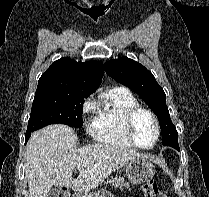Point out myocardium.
<instances>
[{
	"label": "myocardium",
	"instance_id": "f54148a6",
	"mask_svg": "<svg viewBox=\"0 0 209 197\" xmlns=\"http://www.w3.org/2000/svg\"><path fill=\"white\" fill-rule=\"evenodd\" d=\"M140 112L147 113L152 118L154 126H155V140H154L153 144L150 145V146H141L136 141L135 136H134V121H135V118H136L137 114L140 113ZM125 130H126L127 138L130 141V143L138 149L151 150L159 142L160 124H159L158 117L151 109H149L145 106L136 105L128 111V113L126 115V119H125Z\"/></svg>",
	"mask_w": 209,
	"mask_h": 197
}]
</instances>
